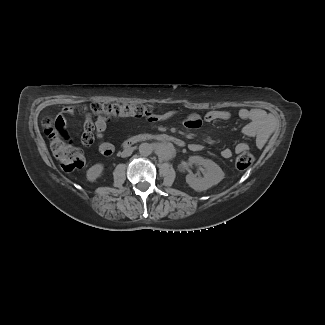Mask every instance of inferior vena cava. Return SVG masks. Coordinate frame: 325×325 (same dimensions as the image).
<instances>
[{"label": "inferior vena cava", "instance_id": "1", "mask_svg": "<svg viewBox=\"0 0 325 325\" xmlns=\"http://www.w3.org/2000/svg\"><path fill=\"white\" fill-rule=\"evenodd\" d=\"M133 150L131 148L129 149H125L123 152H122V157H128L132 154Z\"/></svg>", "mask_w": 325, "mask_h": 325}]
</instances>
